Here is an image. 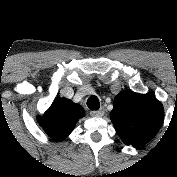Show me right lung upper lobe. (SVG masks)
Instances as JSON below:
<instances>
[{"instance_id":"obj_1","label":"right lung upper lobe","mask_w":177,"mask_h":177,"mask_svg":"<svg viewBox=\"0 0 177 177\" xmlns=\"http://www.w3.org/2000/svg\"><path fill=\"white\" fill-rule=\"evenodd\" d=\"M84 115V109L80 105L60 98L53 102L48 113L39 122L49 137L60 141L73 131L77 121Z\"/></svg>"}]
</instances>
